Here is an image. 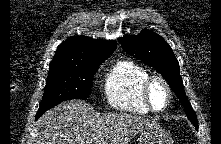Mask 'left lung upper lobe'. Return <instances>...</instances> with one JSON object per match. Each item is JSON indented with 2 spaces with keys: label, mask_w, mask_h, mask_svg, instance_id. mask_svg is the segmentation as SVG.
Segmentation results:
<instances>
[{
  "label": "left lung upper lobe",
  "mask_w": 221,
  "mask_h": 144,
  "mask_svg": "<svg viewBox=\"0 0 221 144\" xmlns=\"http://www.w3.org/2000/svg\"><path fill=\"white\" fill-rule=\"evenodd\" d=\"M118 40L127 53L149 64L164 77L185 107L188 119L197 128V117L186 97L178 61L163 37L152 31L142 30L138 35H127Z\"/></svg>",
  "instance_id": "obj_1"
}]
</instances>
